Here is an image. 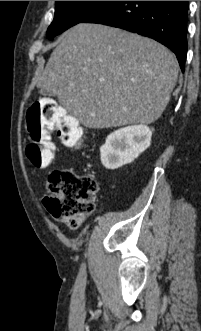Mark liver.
<instances>
[{"label": "liver", "mask_w": 201, "mask_h": 331, "mask_svg": "<svg viewBox=\"0 0 201 331\" xmlns=\"http://www.w3.org/2000/svg\"><path fill=\"white\" fill-rule=\"evenodd\" d=\"M178 77L162 44L100 24L79 23L53 50L37 86L88 128L151 124L165 110Z\"/></svg>", "instance_id": "1"}]
</instances>
